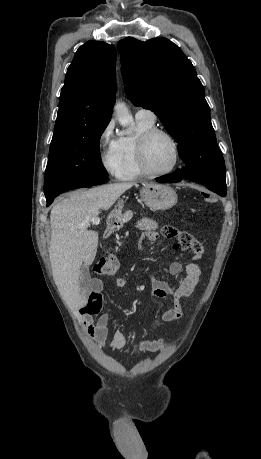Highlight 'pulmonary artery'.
Here are the masks:
<instances>
[{"mask_svg": "<svg viewBox=\"0 0 261 459\" xmlns=\"http://www.w3.org/2000/svg\"><path fill=\"white\" fill-rule=\"evenodd\" d=\"M135 117L137 119H146V120H150V121H155L156 119V115L154 112H152L151 110H148V109H139L136 114H135Z\"/></svg>", "mask_w": 261, "mask_h": 459, "instance_id": "1", "label": "pulmonary artery"}]
</instances>
